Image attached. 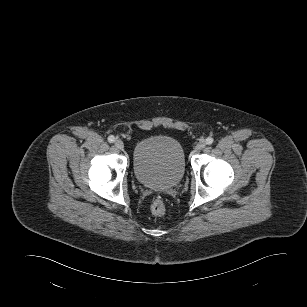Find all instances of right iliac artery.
Instances as JSON below:
<instances>
[{"mask_svg":"<svg viewBox=\"0 0 307 307\" xmlns=\"http://www.w3.org/2000/svg\"><path fill=\"white\" fill-rule=\"evenodd\" d=\"M108 141L110 142V143H113L114 141H115V137L114 136H109L108 137Z\"/></svg>","mask_w":307,"mask_h":307,"instance_id":"obj_1","label":"right iliac artery"}]
</instances>
